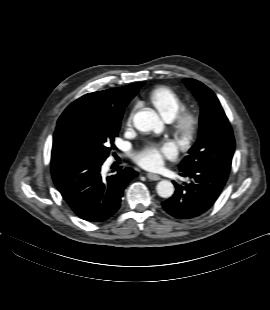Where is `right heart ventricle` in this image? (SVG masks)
<instances>
[{"instance_id":"right-heart-ventricle-1","label":"right heart ventricle","mask_w":270,"mask_h":310,"mask_svg":"<svg viewBox=\"0 0 270 310\" xmlns=\"http://www.w3.org/2000/svg\"><path fill=\"white\" fill-rule=\"evenodd\" d=\"M149 100L166 121H171L183 108L182 98L166 86L153 89L149 94Z\"/></svg>"}]
</instances>
